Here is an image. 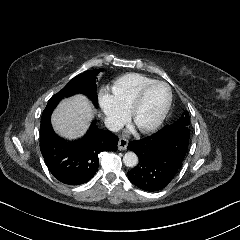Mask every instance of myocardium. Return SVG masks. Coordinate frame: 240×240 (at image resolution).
<instances>
[{
    "label": "myocardium",
    "instance_id": "f54148a6",
    "mask_svg": "<svg viewBox=\"0 0 240 240\" xmlns=\"http://www.w3.org/2000/svg\"><path fill=\"white\" fill-rule=\"evenodd\" d=\"M155 85H161L166 88L167 98H166V101H165L163 108H162L160 114L158 115V117L154 121H152L150 124H148L146 126L138 127V131L142 134H148V133L155 131L157 128L160 127V125L165 120L167 113L170 109L171 102H172V91H171L170 86L166 82H163V81H152L151 83L145 85L139 91V93L137 94L135 100L133 101V103L131 104L129 109H127L125 111L126 123L127 124L134 123L135 116H136L137 112L139 111V109L141 108L147 93Z\"/></svg>",
    "mask_w": 240,
    "mask_h": 240
}]
</instances>
